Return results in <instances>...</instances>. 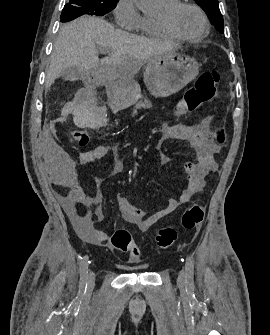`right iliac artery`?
Listing matches in <instances>:
<instances>
[{
  "mask_svg": "<svg viewBox=\"0 0 270 335\" xmlns=\"http://www.w3.org/2000/svg\"><path fill=\"white\" fill-rule=\"evenodd\" d=\"M88 278V256H84L80 263V286L81 293L86 292Z\"/></svg>",
  "mask_w": 270,
  "mask_h": 335,
  "instance_id": "obj_1",
  "label": "right iliac artery"
}]
</instances>
